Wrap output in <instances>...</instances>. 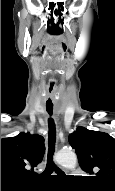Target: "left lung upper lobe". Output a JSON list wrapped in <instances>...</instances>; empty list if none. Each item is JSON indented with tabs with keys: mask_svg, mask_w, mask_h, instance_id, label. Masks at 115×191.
<instances>
[{
	"mask_svg": "<svg viewBox=\"0 0 115 191\" xmlns=\"http://www.w3.org/2000/svg\"><path fill=\"white\" fill-rule=\"evenodd\" d=\"M87 180L103 191H115V139L109 134L78 127L69 135Z\"/></svg>",
	"mask_w": 115,
	"mask_h": 191,
	"instance_id": "left-lung-upper-lobe-1",
	"label": "left lung upper lobe"
}]
</instances>
